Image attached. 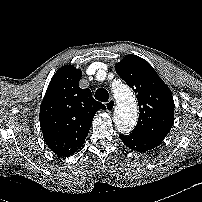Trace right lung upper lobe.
Returning <instances> with one entry per match:
<instances>
[{"label":"right lung upper lobe","instance_id":"cb5924a9","mask_svg":"<svg viewBox=\"0 0 202 202\" xmlns=\"http://www.w3.org/2000/svg\"><path fill=\"white\" fill-rule=\"evenodd\" d=\"M82 71L73 65L61 67L52 77L40 107V126L48 147L58 156L77 151L88 135L93 117L105 105L81 89Z\"/></svg>","mask_w":202,"mask_h":202}]
</instances>
